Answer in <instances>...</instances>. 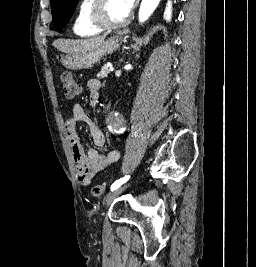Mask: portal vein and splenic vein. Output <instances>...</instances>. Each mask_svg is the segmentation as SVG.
I'll list each match as a JSON object with an SVG mask.
<instances>
[{
  "label": "portal vein and splenic vein",
  "instance_id": "18ae733b",
  "mask_svg": "<svg viewBox=\"0 0 256 267\" xmlns=\"http://www.w3.org/2000/svg\"><path fill=\"white\" fill-rule=\"evenodd\" d=\"M107 68H108V71H111L114 70V68H112L111 64H107Z\"/></svg>",
  "mask_w": 256,
  "mask_h": 267
}]
</instances>
